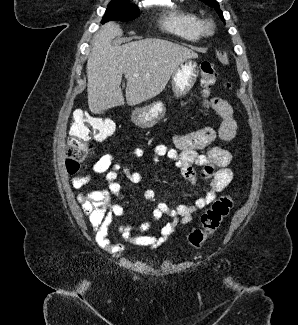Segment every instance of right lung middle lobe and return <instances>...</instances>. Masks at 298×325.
<instances>
[{
	"mask_svg": "<svg viewBox=\"0 0 298 325\" xmlns=\"http://www.w3.org/2000/svg\"><path fill=\"white\" fill-rule=\"evenodd\" d=\"M139 16V10L128 2H110L102 23L110 20L131 21Z\"/></svg>",
	"mask_w": 298,
	"mask_h": 325,
	"instance_id": "right-lung-middle-lobe-1",
	"label": "right lung middle lobe"
}]
</instances>
